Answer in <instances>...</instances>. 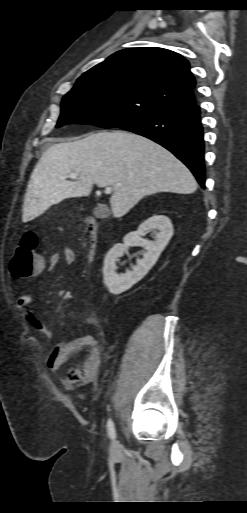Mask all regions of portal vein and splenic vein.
Segmentation results:
<instances>
[{
	"label": "portal vein and splenic vein",
	"mask_w": 247,
	"mask_h": 513,
	"mask_svg": "<svg viewBox=\"0 0 247 513\" xmlns=\"http://www.w3.org/2000/svg\"><path fill=\"white\" fill-rule=\"evenodd\" d=\"M78 174L77 173H71L69 174V177L70 178H77ZM101 187H105V186H101ZM112 191V187L108 186V187H105V193L106 194H109L110 192Z\"/></svg>",
	"instance_id": "1"
}]
</instances>
